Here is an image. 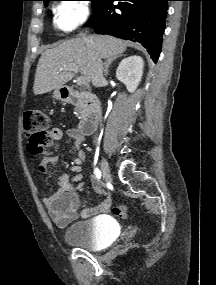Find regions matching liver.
<instances>
[{
  "label": "liver",
  "instance_id": "obj_1",
  "mask_svg": "<svg viewBox=\"0 0 216 285\" xmlns=\"http://www.w3.org/2000/svg\"><path fill=\"white\" fill-rule=\"evenodd\" d=\"M127 42L108 35H90L62 42L45 50L38 62L33 91L35 95L61 89L74 74L61 69L76 65L85 79L91 81L92 57L108 58L123 53Z\"/></svg>",
  "mask_w": 216,
  "mask_h": 285
}]
</instances>
